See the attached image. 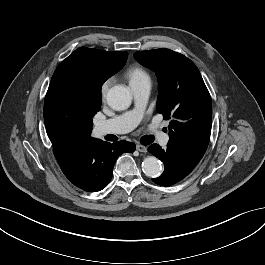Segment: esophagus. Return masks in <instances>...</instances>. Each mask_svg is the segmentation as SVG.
<instances>
[{"label":"esophagus","mask_w":265,"mask_h":265,"mask_svg":"<svg viewBox=\"0 0 265 265\" xmlns=\"http://www.w3.org/2000/svg\"><path fill=\"white\" fill-rule=\"evenodd\" d=\"M136 149H137L139 152H142V153H146V152H147V147L144 146V145H141V144H137V145H136Z\"/></svg>","instance_id":"esophagus-1"}]
</instances>
